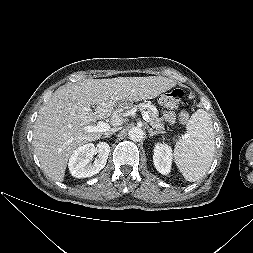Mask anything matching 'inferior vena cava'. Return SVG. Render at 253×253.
Wrapping results in <instances>:
<instances>
[{
	"instance_id": "obj_1",
	"label": "inferior vena cava",
	"mask_w": 253,
	"mask_h": 253,
	"mask_svg": "<svg viewBox=\"0 0 253 253\" xmlns=\"http://www.w3.org/2000/svg\"><path fill=\"white\" fill-rule=\"evenodd\" d=\"M118 130H119V128H117V129H112V130H110L109 132H106V133H105V136L112 135L114 132H116V131H118Z\"/></svg>"
}]
</instances>
